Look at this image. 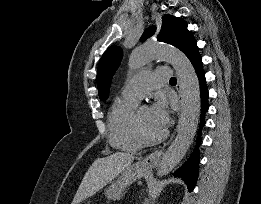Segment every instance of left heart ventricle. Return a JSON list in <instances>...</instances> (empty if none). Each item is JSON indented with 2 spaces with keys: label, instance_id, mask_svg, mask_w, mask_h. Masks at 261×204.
<instances>
[{
  "label": "left heart ventricle",
  "instance_id": "obj_1",
  "mask_svg": "<svg viewBox=\"0 0 261 204\" xmlns=\"http://www.w3.org/2000/svg\"><path fill=\"white\" fill-rule=\"evenodd\" d=\"M139 119L145 131L150 135H158L162 132V130L158 129L154 124L150 107L140 109Z\"/></svg>",
  "mask_w": 261,
  "mask_h": 204
}]
</instances>
